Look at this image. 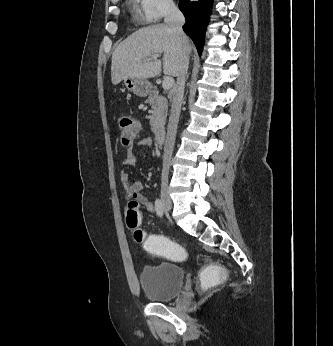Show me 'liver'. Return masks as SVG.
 Masks as SVG:
<instances>
[{
	"instance_id": "obj_1",
	"label": "liver",
	"mask_w": 333,
	"mask_h": 346,
	"mask_svg": "<svg viewBox=\"0 0 333 346\" xmlns=\"http://www.w3.org/2000/svg\"><path fill=\"white\" fill-rule=\"evenodd\" d=\"M184 46L188 54L192 45L185 36ZM178 36L166 25L158 24L142 28L122 41L112 54L111 80L117 85L125 78L148 79L161 73L162 62L153 55L163 54V72L177 76L181 57Z\"/></svg>"
}]
</instances>
